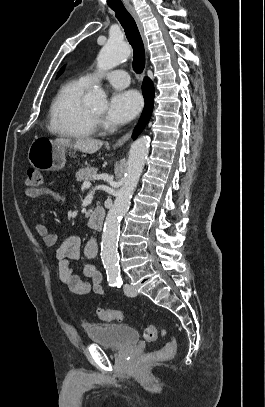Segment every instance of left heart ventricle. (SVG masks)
Returning <instances> with one entry per match:
<instances>
[{
  "mask_svg": "<svg viewBox=\"0 0 265 407\" xmlns=\"http://www.w3.org/2000/svg\"><path fill=\"white\" fill-rule=\"evenodd\" d=\"M94 113H96V114H99V115H102L103 114V112H104V109L103 108H94V109H91Z\"/></svg>",
  "mask_w": 265,
  "mask_h": 407,
  "instance_id": "left-heart-ventricle-1",
  "label": "left heart ventricle"
}]
</instances>
